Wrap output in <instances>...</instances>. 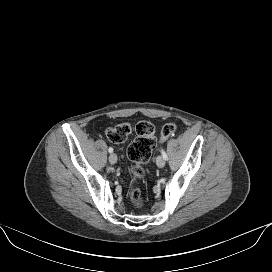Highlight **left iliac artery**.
Instances as JSON below:
<instances>
[{"label":"left iliac artery","mask_w":272,"mask_h":272,"mask_svg":"<svg viewBox=\"0 0 272 272\" xmlns=\"http://www.w3.org/2000/svg\"><path fill=\"white\" fill-rule=\"evenodd\" d=\"M161 154H162V156H163V158H164L165 160L168 159V156H167V154H166V152L164 151L163 148H161Z\"/></svg>","instance_id":"1"}]
</instances>
